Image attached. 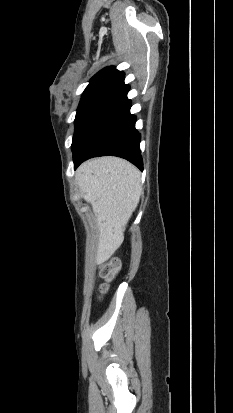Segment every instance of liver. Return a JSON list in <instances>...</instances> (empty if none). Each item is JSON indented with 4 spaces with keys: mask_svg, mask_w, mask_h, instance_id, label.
<instances>
[{
    "mask_svg": "<svg viewBox=\"0 0 233 413\" xmlns=\"http://www.w3.org/2000/svg\"><path fill=\"white\" fill-rule=\"evenodd\" d=\"M76 177L83 198L97 217L98 248L96 262L107 261L120 247L126 225L143 192L140 172L118 157H100L86 161Z\"/></svg>",
    "mask_w": 233,
    "mask_h": 413,
    "instance_id": "1",
    "label": "liver"
}]
</instances>
